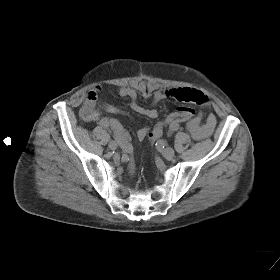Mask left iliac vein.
<instances>
[{"label": "left iliac vein", "mask_w": 280, "mask_h": 280, "mask_svg": "<svg viewBox=\"0 0 280 280\" xmlns=\"http://www.w3.org/2000/svg\"><path fill=\"white\" fill-rule=\"evenodd\" d=\"M162 154L166 159L171 160L174 157L175 152L172 148L167 147L162 151Z\"/></svg>", "instance_id": "1"}]
</instances>
